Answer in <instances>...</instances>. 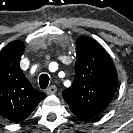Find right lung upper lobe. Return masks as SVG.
<instances>
[{
	"mask_svg": "<svg viewBox=\"0 0 133 133\" xmlns=\"http://www.w3.org/2000/svg\"><path fill=\"white\" fill-rule=\"evenodd\" d=\"M25 45L17 40L0 51V115L14 122L26 119L46 95L34 89L20 69Z\"/></svg>",
	"mask_w": 133,
	"mask_h": 133,
	"instance_id": "right-lung-upper-lobe-1",
	"label": "right lung upper lobe"
}]
</instances>
